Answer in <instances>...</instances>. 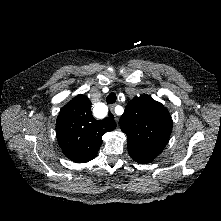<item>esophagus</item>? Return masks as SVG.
I'll use <instances>...</instances> for the list:
<instances>
[{
    "instance_id": "34e87169",
    "label": "esophagus",
    "mask_w": 221,
    "mask_h": 221,
    "mask_svg": "<svg viewBox=\"0 0 221 221\" xmlns=\"http://www.w3.org/2000/svg\"><path fill=\"white\" fill-rule=\"evenodd\" d=\"M115 104H113V105H110V112H111V114H112V116L114 117V120L115 121H118L119 120V118L117 117V115L115 114V112H114V109H115Z\"/></svg>"
}]
</instances>
